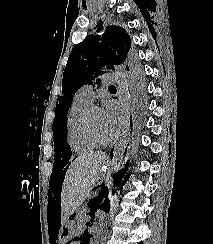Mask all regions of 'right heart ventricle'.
Instances as JSON below:
<instances>
[{
  "instance_id": "1",
  "label": "right heart ventricle",
  "mask_w": 213,
  "mask_h": 244,
  "mask_svg": "<svg viewBox=\"0 0 213 244\" xmlns=\"http://www.w3.org/2000/svg\"><path fill=\"white\" fill-rule=\"evenodd\" d=\"M90 105V101L76 94L67 114V142L76 153H86L97 146L88 138L84 129V115Z\"/></svg>"
}]
</instances>
